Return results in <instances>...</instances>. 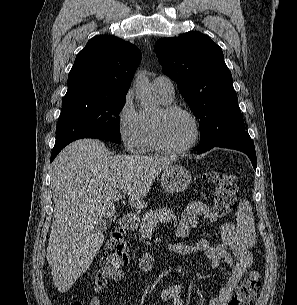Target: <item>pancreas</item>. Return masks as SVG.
<instances>
[{
  "label": "pancreas",
  "mask_w": 297,
  "mask_h": 305,
  "mask_svg": "<svg viewBox=\"0 0 297 305\" xmlns=\"http://www.w3.org/2000/svg\"><path fill=\"white\" fill-rule=\"evenodd\" d=\"M176 218L175 213L168 207L150 210L145 213L140 223V233L144 237H151L152 233L160 223H166Z\"/></svg>",
  "instance_id": "cf45deb5"
}]
</instances>
